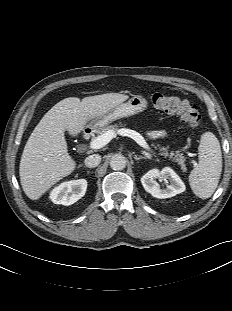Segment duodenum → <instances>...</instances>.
<instances>
[{"instance_id":"410a0bca","label":"duodenum","mask_w":232,"mask_h":311,"mask_svg":"<svg viewBox=\"0 0 232 311\" xmlns=\"http://www.w3.org/2000/svg\"><path fill=\"white\" fill-rule=\"evenodd\" d=\"M91 134H92L91 129L86 128V129L82 132V138H83L84 140H87V139L90 138Z\"/></svg>"}]
</instances>
